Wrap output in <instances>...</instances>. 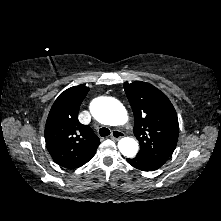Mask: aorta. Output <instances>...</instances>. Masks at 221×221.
Here are the masks:
<instances>
[{"label":"aorta","instance_id":"1","mask_svg":"<svg viewBox=\"0 0 221 221\" xmlns=\"http://www.w3.org/2000/svg\"><path fill=\"white\" fill-rule=\"evenodd\" d=\"M93 117L102 124L119 126L127 122L128 116L124 106L116 99L99 97L90 105ZM119 151L126 157H134L139 149L138 142L130 137H124L118 142Z\"/></svg>","mask_w":221,"mask_h":221}]
</instances>
